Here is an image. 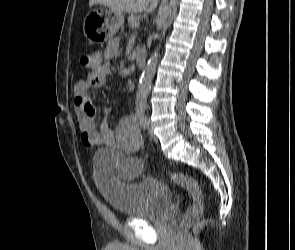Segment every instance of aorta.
Wrapping results in <instances>:
<instances>
[{
	"instance_id": "1",
	"label": "aorta",
	"mask_w": 295,
	"mask_h": 250,
	"mask_svg": "<svg viewBox=\"0 0 295 250\" xmlns=\"http://www.w3.org/2000/svg\"><path fill=\"white\" fill-rule=\"evenodd\" d=\"M177 7H178V0H170L169 1L166 14L163 16V18L161 20L162 31H161L160 35L158 36V40L160 42L165 37L166 31H167L168 27L170 26L173 18L176 15ZM160 46L161 45L159 43V45H157L156 49L152 53V55L147 63V66L145 67V69L142 73L140 83L138 86V90L136 93V104L139 107H144L146 104L148 92L150 90L152 79L154 77L157 63H158V50H159Z\"/></svg>"
}]
</instances>
